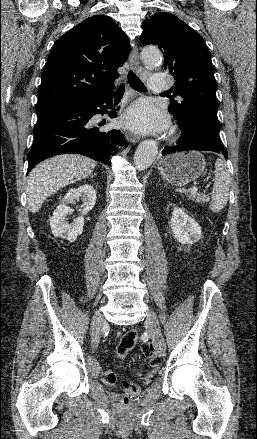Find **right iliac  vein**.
<instances>
[{
  "mask_svg": "<svg viewBox=\"0 0 257 439\" xmlns=\"http://www.w3.org/2000/svg\"><path fill=\"white\" fill-rule=\"evenodd\" d=\"M104 324V318L101 313L97 312L92 320V347L97 348L100 337L102 326Z\"/></svg>",
  "mask_w": 257,
  "mask_h": 439,
  "instance_id": "63e3f726",
  "label": "right iliac vein"
}]
</instances>
